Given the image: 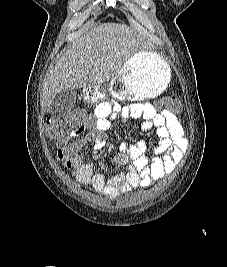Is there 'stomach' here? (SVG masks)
<instances>
[{
    "mask_svg": "<svg viewBox=\"0 0 227 267\" xmlns=\"http://www.w3.org/2000/svg\"><path fill=\"white\" fill-rule=\"evenodd\" d=\"M171 69L157 53L143 50L132 56L114 76L109 87L89 85L85 99L89 102L108 96H122L121 99L143 101L160 95L168 86Z\"/></svg>",
    "mask_w": 227,
    "mask_h": 267,
    "instance_id": "stomach-1",
    "label": "stomach"
}]
</instances>
